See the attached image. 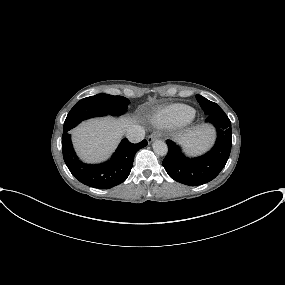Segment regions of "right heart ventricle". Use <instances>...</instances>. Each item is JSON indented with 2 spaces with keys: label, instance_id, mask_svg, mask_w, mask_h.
<instances>
[{
  "label": "right heart ventricle",
  "instance_id": "1",
  "mask_svg": "<svg viewBox=\"0 0 285 285\" xmlns=\"http://www.w3.org/2000/svg\"><path fill=\"white\" fill-rule=\"evenodd\" d=\"M194 115V109L185 104H171L154 114V123L163 128H174L186 124Z\"/></svg>",
  "mask_w": 285,
  "mask_h": 285
}]
</instances>
